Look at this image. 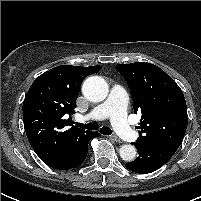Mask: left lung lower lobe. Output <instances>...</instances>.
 <instances>
[{"mask_svg":"<svg viewBox=\"0 0 201 201\" xmlns=\"http://www.w3.org/2000/svg\"><path fill=\"white\" fill-rule=\"evenodd\" d=\"M139 156L126 167L139 174L151 173L162 167L176 152L179 146L173 144L141 145L134 142Z\"/></svg>","mask_w":201,"mask_h":201,"instance_id":"0a47b994","label":"left lung lower lobe"}]
</instances>
